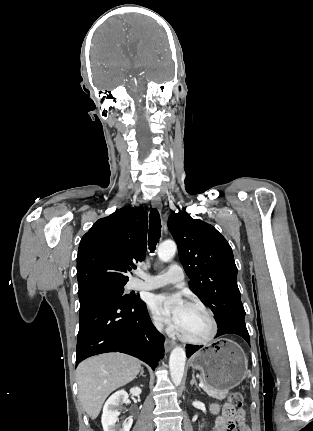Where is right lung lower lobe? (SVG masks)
Segmentation results:
<instances>
[{
    "label": "right lung lower lobe",
    "instance_id": "1",
    "mask_svg": "<svg viewBox=\"0 0 313 431\" xmlns=\"http://www.w3.org/2000/svg\"><path fill=\"white\" fill-rule=\"evenodd\" d=\"M79 301L76 366L93 355L121 352L155 369L164 356L165 338L152 324L139 296L127 301L114 293L95 291L79 296Z\"/></svg>",
    "mask_w": 313,
    "mask_h": 431
}]
</instances>
